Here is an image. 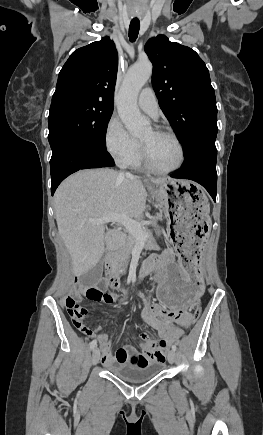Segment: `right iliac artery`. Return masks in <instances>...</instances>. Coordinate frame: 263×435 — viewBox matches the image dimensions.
Listing matches in <instances>:
<instances>
[{
    "label": "right iliac artery",
    "instance_id": "1",
    "mask_svg": "<svg viewBox=\"0 0 263 435\" xmlns=\"http://www.w3.org/2000/svg\"><path fill=\"white\" fill-rule=\"evenodd\" d=\"M96 346H97V341H96V340H93V341L90 343V348H91V349H94Z\"/></svg>",
    "mask_w": 263,
    "mask_h": 435
}]
</instances>
